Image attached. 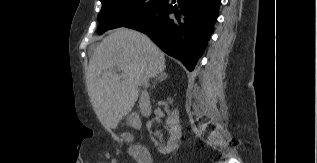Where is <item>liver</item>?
<instances>
[{
	"label": "liver",
	"mask_w": 317,
	"mask_h": 163,
	"mask_svg": "<svg viewBox=\"0 0 317 163\" xmlns=\"http://www.w3.org/2000/svg\"><path fill=\"white\" fill-rule=\"evenodd\" d=\"M121 67L118 75L114 67ZM164 53L144 34L116 29L94 50L86 76L87 91L95 113L106 129H115L131 112L143 78L165 69Z\"/></svg>",
	"instance_id": "liver-1"
}]
</instances>
